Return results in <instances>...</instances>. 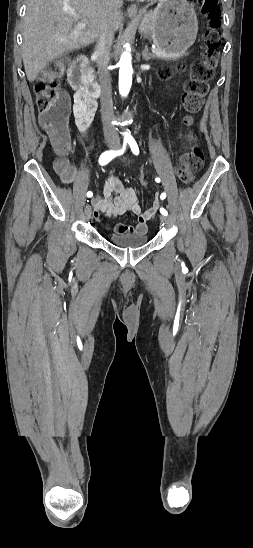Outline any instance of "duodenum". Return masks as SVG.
Wrapping results in <instances>:
<instances>
[{
	"label": "duodenum",
	"mask_w": 253,
	"mask_h": 548,
	"mask_svg": "<svg viewBox=\"0 0 253 548\" xmlns=\"http://www.w3.org/2000/svg\"><path fill=\"white\" fill-rule=\"evenodd\" d=\"M69 82L80 95L94 100L100 96V87L91 77L87 55H79L73 60L69 68Z\"/></svg>",
	"instance_id": "duodenum-1"
}]
</instances>
